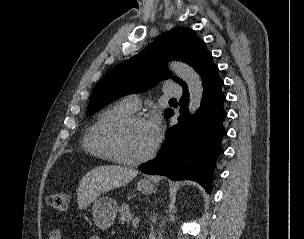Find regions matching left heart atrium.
Listing matches in <instances>:
<instances>
[{
  "label": "left heart atrium",
  "instance_id": "left-heart-atrium-1",
  "mask_svg": "<svg viewBox=\"0 0 304 239\" xmlns=\"http://www.w3.org/2000/svg\"><path fill=\"white\" fill-rule=\"evenodd\" d=\"M147 129L148 132L153 140L155 142L161 132V121L158 116H153L148 122H147Z\"/></svg>",
  "mask_w": 304,
  "mask_h": 239
}]
</instances>
